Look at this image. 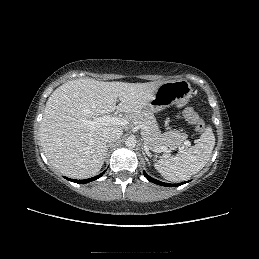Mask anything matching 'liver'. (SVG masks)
Wrapping results in <instances>:
<instances>
[{
  "label": "liver",
  "instance_id": "liver-1",
  "mask_svg": "<svg viewBox=\"0 0 259 259\" xmlns=\"http://www.w3.org/2000/svg\"><path fill=\"white\" fill-rule=\"evenodd\" d=\"M163 82H102L92 78L68 81L46 102L40 142L49 162L60 173L83 179L96 175L105 161V134L119 125L91 128L85 121L115 110L135 113L145 107ZM117 99L120 103L116 105Z\"/></svg>",
  "mask_w": 259,
  "mask_h": 259
}]
</instances>
